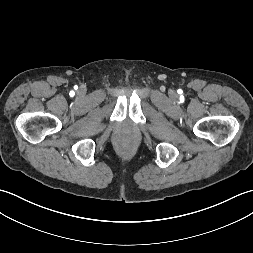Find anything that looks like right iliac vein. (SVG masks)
I'll list each match as a JSON object with an SVG mask.
<instances>
[{
  "label": "right iliac vein",
  "mask_w": 253,
  "mask_h": 253,
  "mask_svg": "<svg viewBox=\"0 0 253 253\" xmlns=\"http://www.w3.org/2000/svg\"><path fill=\"white\" fill-rule=\"evenodd\" d=\"M83 93V90H80V94H82Z\"/></svg>",
  "instance_id": "right-iliac-vein-1"
}]
</instances>
